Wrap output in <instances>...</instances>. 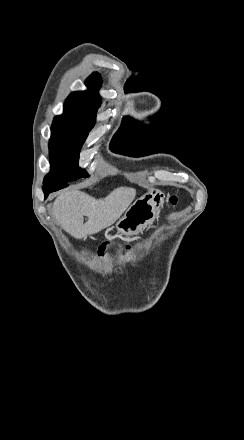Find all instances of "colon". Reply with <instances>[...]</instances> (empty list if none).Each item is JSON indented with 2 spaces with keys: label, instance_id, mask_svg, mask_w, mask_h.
Masks as SVG:
<instances>
[{
  "label": "colon",
  "instance_id": "obj_1",
  "mask_svg": "<svg viewBox=\"0 0 244 440\" xmlns=\"http://www.w3.org/2000/svg\"><path fill=\"white\" fill-rule=\"evenodd\" d=\"M170 202L172 204H176L178 202V197L177 196H171ZM109 247H110L109 243L102 244V246L99 248V254L104 255V254L108 253L109 252ZM81 253L83 255L87 254L85 256V259L88 262H91L93 259L95 260L97 258L95 255L93 256L88 250L87 251L83 250Z\"/></svg>",
  "mask_w": 244,
  "mask_h": 440
}]
</instances>
